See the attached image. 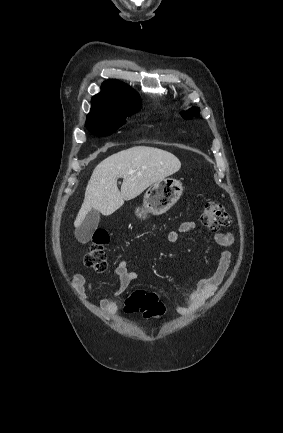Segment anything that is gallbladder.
Returning a JSON list of instances; mask_svg holds the SVG:
<instances>
[{
    "instance_id": "obj_1",
    "label": "gallbladder",
    "mask_w": 283,
    "mask_h": 433,
    "mask_svg": "<svg viewBox=\"0 0 283 433\" xmlns=\"http://www.w3.org/2000/svg\"><path fill=\"white\" fill-rule=\"evenodd\" d=\"M100 221V212L91 208L84 221H82L80 227L75 229V237L78 239L79 243H89L93 233H95Z\"/></svg>"
}]
</instances>
